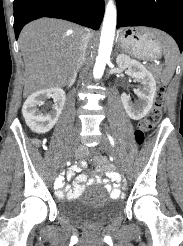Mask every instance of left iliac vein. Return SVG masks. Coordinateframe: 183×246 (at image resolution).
Masks as SVG:
<instances>
[{"label":"left iliac vein","instance_id":"1","mask_svg":"<svg viewBox=\"0 0 183 246\" xmlns=\"http://www.w3.org/2000/svg\"><path fill=\"white\" fill-rule=\"evenodd\" d=\"M100 147L114 158L116 165L120 170H122L123 163L121 157L119 156L118 152L111 146L109 140L105 136L101 137Z\"/></svg>","mask_w":183,"mask_h":246}]
</instances>
